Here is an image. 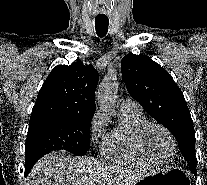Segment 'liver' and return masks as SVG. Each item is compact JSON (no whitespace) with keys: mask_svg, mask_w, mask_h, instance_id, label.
<instances>
[{"mask_svg":"<svg viewBox=\"0 0 207 185\" xmlns=\"http://www.w3.org/2000/svg\"><path fill=\"white\" fill-rule=\"evenodd\" d=\"M95 165L67 151H52L34 165L30 185H95Z\"/></svg>","mask_w":207,"mask_h":185,"instance_id":"liver-1","label":"liver"}]
</instances>
